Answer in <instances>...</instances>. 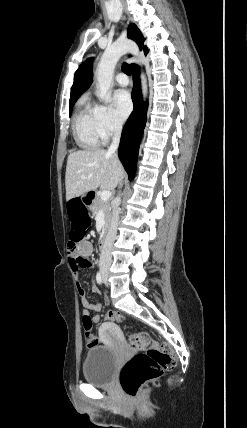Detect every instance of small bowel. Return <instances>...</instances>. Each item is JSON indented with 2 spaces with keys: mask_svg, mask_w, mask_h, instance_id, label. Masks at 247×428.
Returning a JSON list of instances; mask_svg holds the SVG:
<instances>
[{
  "mask_svg": "<svg viewBox=\"0 0 247 428\" xmlns=\"http://www.w3.org/2000/svg\"><path fill=\"white\" fill-rule=\"evenodd\" d=\"M93 247L89 241H83L78 244L77 254L79 257L86 259L89 262L88 267H91V263L88 258L92 255ZM70 265L74 271H78L80 268L77 264V258L70 255ZM93 293L97 294L98 288L93 284L91 287ZM77 291L80 298L81 305L83 307V317H88L92 323H98L101 319L100 311L102 305L99 302L91 303L87 299L86 291L81 282H77ZM93 313V314H91Z\"/></svg>",
  "mask_w": 247,
  "mask_h": 428,
  "instance_id": "small-bowel-1",
  "label": "small bowel"
}]
</instances>
